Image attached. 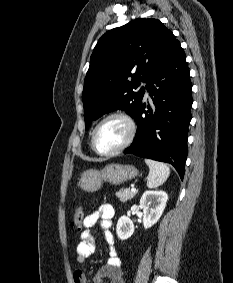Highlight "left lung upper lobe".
<instances>
[{
  "label": "left lung upper lobe",
  "mask_w": 233,
  "mask_h": 283,
  "mask_svg": "<svg viewBox=\"0 0 233 283\" xmlns=\"http://www.w3.org/2000/svg\"><path fill=\"white\" fill-rule=\"evenodd\" d=\"M177 43L157 19H136L106 32L93 50L84 80L86 130L93 120L113 110H125L134 118L144 88L137 93L133 89L147 82Z\"/></svg>",
  "instance_id": "obj_1"
}]
</instances>
